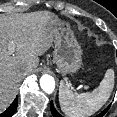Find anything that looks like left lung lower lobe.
<instances>
[{
    "label": "left lung lower lobe",
    "mask_w": 117,
    "mask_h": 117,
    "mask_svg": "<svg viewBox=\"0 0 117 117\" xmlns=\"http://www.w3.org/2000/svg\"><path fill=\"white\" fill-rule=\"evenodd\" d=\"M110 108V105L103 111L101 112L100 114H98L96 117H102L105 115V113L108 111V109ZM51 112H52V115L53 117H63L61 116L57 111L56 109L54 108V105H53V102L51 101Z\"/></svg>",
    "instance_id": "0a47b994"
}]
</instances>
